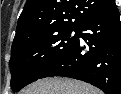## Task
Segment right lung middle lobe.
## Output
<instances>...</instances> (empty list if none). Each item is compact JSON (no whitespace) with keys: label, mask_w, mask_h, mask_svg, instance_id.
<instances>
[{"label":"right lung middle lobe","mask_w":121,"mask_h":94,"mask_svg":"<svg viewBox=\"0 0 121 94\" xmlns=\"http://www.w3.org/2000/svg\"><path fill=\"white\" fill-rule=\"evenodd\" d=\"M72 32L75 36L71 37ZM77 29L53 33L32 32L12 45L10 70L11 88L14 92L40 79V77L76 44Z\"/></svg>","instance_id":"dd1d6c3e"}]
</instances>
